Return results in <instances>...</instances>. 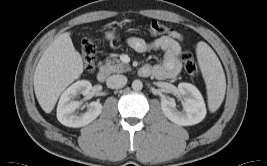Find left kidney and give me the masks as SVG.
<instances>
[{
    "instance_id": "5707ae66",
    "label": "left kidney",
    "mask_w": 267,
    "mask_h": 166,
    "mask_svg": "<svg viewBox=\"0 0 267 166\" xmlns=\"http://www.w3.org/2000/svg\"><path fill=\"white\" fill-rule=\"evenodd\" d=\"M178 92L184 97L183 110L176 108L173 98L166 97L161 100L164 115L173 123L180 126H190L201 122L206 116V106L200 91L190 83H180Z\"/></svg>"
}]
</instances>
